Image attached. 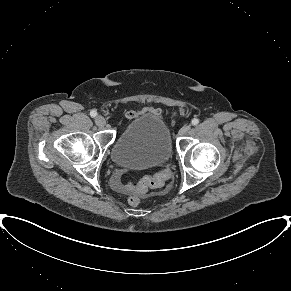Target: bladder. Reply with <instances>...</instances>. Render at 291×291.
<instances>
[{
    "instance_id": "bladder-1",
    "label": "bladder",
    "mask_w": 291,
    "mask_h": 291,
    "mask_svg": "<svg viewBox=\"0 0 291 291\" xmlns=\"http://www.w3.org/2000/svg\"><path fill=\"white\" fill-rule=\"evenodd\" d=\"M172 152L166 124L156 115L144 114L119 133L111 148V159L120 167L148 169L168 162Z\"/></svg>"
}]
</instances>
